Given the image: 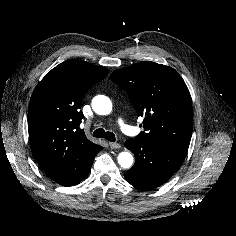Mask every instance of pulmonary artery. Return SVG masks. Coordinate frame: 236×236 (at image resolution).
I'll use <instances>...</instances> for the list:
<instances>
[{
  "instance_id": "pulmonary-artery-1",
  "label": "pulmonary artery",
  "mask_w": 236,
  "mask_h": 236,
  "mask_svg": "<svg viewBox=\"0 0 236 236\" xmlns=\"http://www.w3.org/2000/svg\"><path fill=\"white\" fill-rule=\"evenodd\" d=\"M117 122H118V125L120 126L121 130L125 134H130L132 132L131 127L122 118H118Z\"/></svg>"
}]
</instances>
